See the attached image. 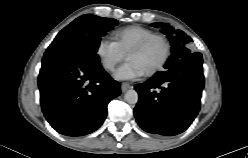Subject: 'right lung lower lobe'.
<instances>
[{"instance_id":"right-lung-lower-lobe-1","label":"right lung lower lobe","mask_w":248,"mask_h":158,"mask_svg":"<svg viewBox=\"0 0 248 158\" xmlns=\"http://www.w3.org/2000/svg\"><path fill=\"white\" fill-rule=\"evenodd\" d=\"M41 107L50 125L67 136L98 129L120 83L102 68L95 53L47 49L38 77Z\"/></svg>"}]
</instances>
